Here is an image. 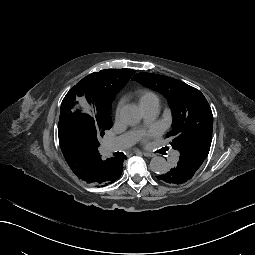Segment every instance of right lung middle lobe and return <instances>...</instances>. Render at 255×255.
I'll use <instances>...</instances> for the list:
<instances>
[{"instance_id":"obj_1","label":"right lung middle lobe","mask_w":255,"mask_h":255,"mask_svg":"<svg viewBox=\"0 0 255 255\" xmlns=\"http://www.w3.org/2000/svg\"><path fill=\"white\" fill-rule=\"evenodd\" d=\"M112 127L111 113L101 117L80 116L68 105H61L58 125L59 143L61 147L98 148L99 140L105 131Z\"/></svg>"}]
</instances>
